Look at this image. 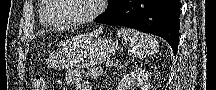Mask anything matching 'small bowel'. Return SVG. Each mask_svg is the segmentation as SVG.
I'll return each instance as SVG.
<instances>
[{"mask_svg":"<svg viewBox=\"0 0 216 90\" xmlns=\"http://www.w3.org/2000/svg\"><path fill=\"white\" fill-rule=\"evenodd\" d=\"M65 81L68 85L75 87L76 90H92L91 84L83 79L77 70H69L65 75Z\"/></svg>","mask_w":216,"mask_h":90,"instance_id":"c3829d8e","label":"small bowel"}]
</instances>
